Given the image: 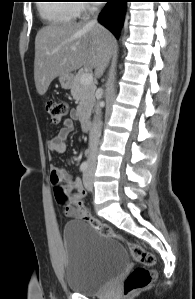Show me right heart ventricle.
Wrapping results in <instances>:
<instances>
[{"instance_id":"e07e8e85","label":"right heart ventricle","mask_w":195,"mask_h":299,"mask_svg":"<svg viewBox=\"0 0 195 299\" xmlns=\"http://www.w3.org/2000/svg\"><path fill=\"white\" fill-rule=\"evenodd\" d=\"M77 4L69 0L49 1L40 6L42 18L51 25L71 23L77 13Z\"/></svg>"}]
</instances>
